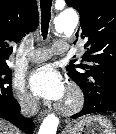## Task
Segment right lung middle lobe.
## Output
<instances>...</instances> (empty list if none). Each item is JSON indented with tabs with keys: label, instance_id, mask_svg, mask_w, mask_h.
<instances>
[{
	"label": "right lung middle lobe",
	"instance_id": "obj_1",
	"mask_svg": "<svg viewBox=\"0 0 116 134\" xmlns=\"http://www.w3.org/2000/svg\"><path fill=\"white\" fill-rule=\"evenodd\" d=\"M11 70L7 65L0 66V105L15 101L12 93Z\"/></svg>",
	"mask_w": 116,
	"mask_h": 134
}]
</instances>
